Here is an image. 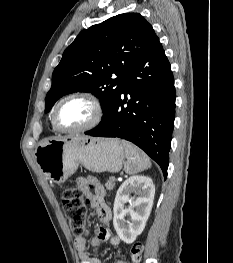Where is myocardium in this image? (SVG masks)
<instances>
[{"instance_id": "myocardium-1", "label": "myocardium", "mask_w": 233, "mask_h": 263, "mask_svg": "<svg viewBox=\"0 0 233 263\" xmlns=\"http://www.w3.org/2000/svg\"><path fill=\"white\" fill-rule=\"evenodd\" d=\"M74 98H81V99L88 101L94 110L93 117L91 118V120L87 124H85L84 126H82L80 128H77V129L62 128L59 125L58 119H57L58 110H59L60 106L65 101L70 100V99H74ZM103 114H104V110H103L102 103L100 102V100L95 95L88 93V92H75V93H71L69 95H66L56 104V106L53 110V114H52V123H53V126L58 131H60L62 133H69V134L81 133V132H85V131H88V130L96 127L100 123V121L102 120Z\"/></svg>"}]
</instances>
